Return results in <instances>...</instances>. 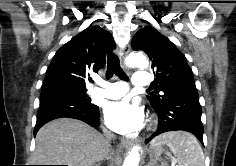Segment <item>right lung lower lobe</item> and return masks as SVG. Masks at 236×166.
I'll list each match as a JSON object with an SVG mask.
<instances>
[{
  "label": "right lung lower lobe",
  "instance_id": "obj_1",
  "mask_svg": "<svg viewBox=\"0 0 236 166\" xmlns=\"http://www.w3.org/2000/svg\"><path fill=\"white\" fill-rule=\"evenodd\" d=\"M60 85L48 86L45 89H54ZM43 89V88H42ZM74 118L86 122L91 126L99 125L98 107H83L74 105L54 104L51 107H40L37 122L34 128V135L47 122L62 118Z\"/></svg>",
  "mask_w": 236,
  "mask_h": 166
}]
</instances>
